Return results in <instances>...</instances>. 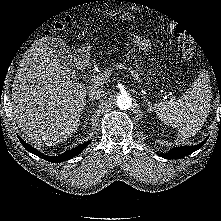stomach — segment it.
Returning <instances> with one entry per match:
<instances>
[{
    "label": "stomach",
    "instance_id": "0dacf381",
    "mask_svg": "<svg viewBox=\"0 0 221 221\" xmlns=\"http://www.w3.org/2000/svg\"><path fill=\"white\" fill-rule=\"evenodd\" d=\"M131 14L129 12H126L124 14H122L121 16H119L118 22H120V20L123 21H127L131 18ZM78 53L81 57L86 58L89 55L88 49L86 47H82L81 49L78 50Z\"/></svg>",
    "mask_w": 221,
    "mask_h": 221
}]
</instances>
